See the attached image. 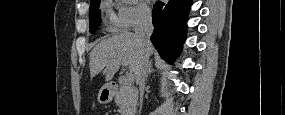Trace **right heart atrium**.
<instances>
[{"label": "right heart atrium", "mask_w": 285, "mask_h": 115, "mask_svg": "<svg viewBox=\"0 0 285 115\" xmlns=\"http://www.w3.org/2000/svg\"><path fill=\"white\" fill-rule=\"evenodd\" d=\"M120 27L133 29L150 21L151 12L143 1H132L128 4H121L117 15Z\"/></svg>", "instance_id": "right-heart-atrium-1"}]
</instances>
